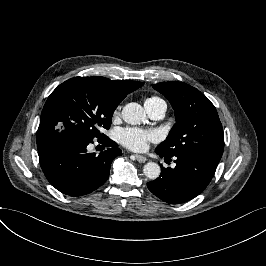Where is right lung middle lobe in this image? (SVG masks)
Listing matches in <instances>:
<instances>
[{
    "instance_id": "1",
    "label": "right lung middle lobe",
    "mask_w": 266,
    "mask_h": 266,
    "mask_svg": "<svg viewBox=\"0 0 266 266\" xmlns=\"http://www.w3.org/2000/svg\"><path fill=\"white\" fill-rule=\"evenodd\" d=\"M129 92L104 77H75L59 85L48 97L40 118L37 147L59 137L92 141L109 129L112 115Z\"/></svg>"
}]
</instances>
